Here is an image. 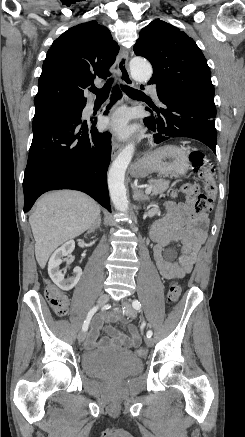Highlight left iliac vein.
I'll return each mask as SVG.
<instances>
[{
	"instance_id": "1",
	"label": "left iliac vein",
	"mask_w": 245,
	"mask_h": 437,
	"mask_svg": "<svg viewBox=\"0 0 245 437\" xmlns=\"http://www.w3.org/2000/svg\"><path fill=\"white\" fill-rule=\"evenodd\" d=\"M123 305L125 306L126 314L130 318L136 317V310L133 308V306L128 301H122ZM145 343L147 346L153 345V339L151 337H145Z\"/></svg>"
}]
</instances>
